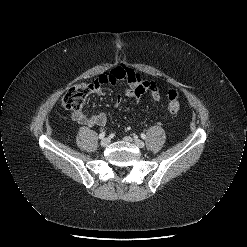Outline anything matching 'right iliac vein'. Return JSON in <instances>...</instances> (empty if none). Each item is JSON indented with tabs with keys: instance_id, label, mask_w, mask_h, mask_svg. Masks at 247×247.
<instances>
[{
	"instance_id": "right-iliac-vein-1",
	"label": "right iliac vein",
	"mask_w": 247,
	"mask_h": 247,
	"mask_svg": "<svg viewBox=\"0 0 247 247\" xmlns=\"http://www.w3.org/2000/svg\"><path fill=\"white\" fill-rule=\"evenodd\" d=\"M101 146L102 147H106L110 144V139L109 138H104L102 141H101Z\"/></svg>"
}]
</instances>
